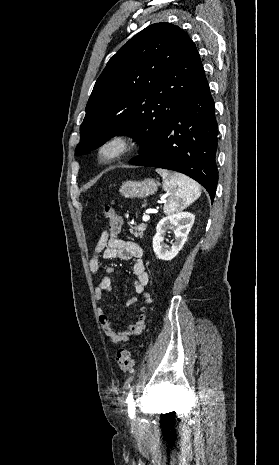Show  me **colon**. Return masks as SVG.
<instances>
[{
	"label": "colon",
	"mask_w": 279,
	"mask_h": 465,
	"mask_svg": "<svg viewBox=\"0 0 279 465\" xmlns=\"http://www.w3.org/2000/svg\"><path fill=\"white\" fill-rule=\"evenodd\" d=\"M103 214L105 218L109 220L108 230H109L110 235L112 237L117 236L122 229V225H123L122 217L118 215L114 211V209L109 205L104 206ZM116 361H117L119 368L122 371H131L133 369L134 360H133L132 354L130 353L129 350L125 348H121L120 350H118L117 355H116Z\"/></svg>",
	"instance_id": "colon-1"
}]
</instances>
